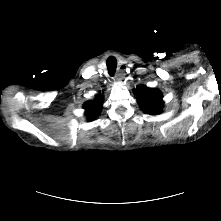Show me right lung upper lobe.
<instances>
[{"label": "right lung upper lobe", "instance_id": "right-lung-upper-lobe-1", "mask_svg": "<svg viewBox=\"0 0 221 221\" xmlns=\"http://www.w3.org/2000/svg\"><path fill=\"white\" fill-rule=\"evenodd\" d=\"M102 105V96L98 95L94 101H89L84 104L85 114L88 120H94L99 115Z\"/></svg>", "mask_w": 221, "mask_h": 221}]
</instances>
